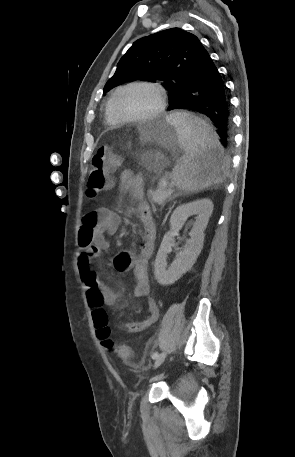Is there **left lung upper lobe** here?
<instances>
[{"label": "left lung upper lobe", "mask_w": 295, "mask_h": 457, "mask_svg": "<svg viewBox=\"0 0 295 457\" xmlns=\"http://www.w3.org/2000/svg\"><path fill=\"white\" fill-rule=\"evenodd\" d=\"M202 46L195 35L179 28L140 38L120 59L104 92L126 81L160 83L171 102L183 88L187 70Z\"/></svg>", "instance_id": "left-lung-upper-lobe-1"}]
</instances>
